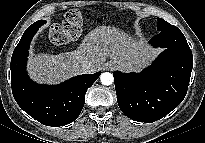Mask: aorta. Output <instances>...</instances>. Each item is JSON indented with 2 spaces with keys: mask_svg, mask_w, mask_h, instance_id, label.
I'll use <instances>...</instances> for the list:
<instances>
[{
  "mask_svg": "<svg viewBox=\"0 0 205 143\" xmlns=\"http://www.w3.org/2000/svg\"><path fill=\"white\" fill-rule=\"evenodd\" d=\"M100 80H101V83L103 85H107L108 86V85H111L113 83L114 77H113V75L111 73L104 72V73L101 74Z\"/></svg>",
  "mask_w": 205,
  "mask_h": 143,
  "instance_id": "obj_1",
  "label": "aorta"
}]
</instances>
